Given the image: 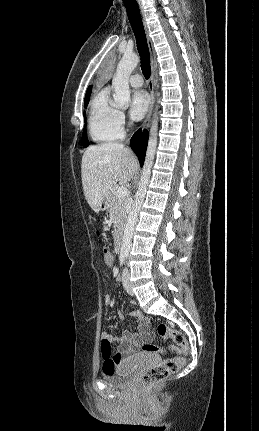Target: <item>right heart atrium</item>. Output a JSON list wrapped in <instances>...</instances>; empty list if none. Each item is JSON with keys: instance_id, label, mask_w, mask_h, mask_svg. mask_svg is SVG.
<instances>
[{"instance_id": "d8ad5b80", "label": "right heart atrium", "mask_w": 259, "mask_h": 431, "mask_svg": "<svg viewBox=\"0 0 259 431\" xmlns=\"http://www.w3.org/2000/svg\"><path fill=\"white\" fill-rule=\"evenodd\" d=\"M117 125L122 129L129 123V119L124 111L117 110L115 115Z\"/></svg>"}]
</instances>
